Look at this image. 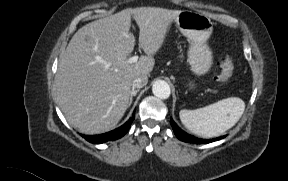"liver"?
Here are the masks:
<instances>
[{
    "instance_id": "liver-1",
    "label": "liver",
    "mask_w": 288,
    "mask_h": 181,
    "mask_svg": "<svg viewBox=\"0 0 288 181\" xmlns=\"http://www.w3.org/2000/svg\"><path fill=\"white\" fill-rule=\"evenodd\" d=\"M179 10L125 9L81 27L59 60L55 77L58 104L68 123L85 134L113 129L128 108L134 78L148 76ZM146 55L128 64L136 43L131 16Z\"/></svg>"
}]
</instances>
